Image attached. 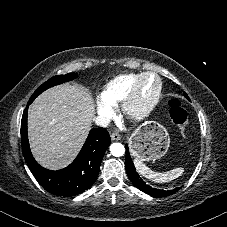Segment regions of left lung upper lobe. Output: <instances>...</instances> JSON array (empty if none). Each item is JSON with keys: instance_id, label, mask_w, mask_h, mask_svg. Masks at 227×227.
Wrapping results in <instances>:
<instances>
[{"instance_id": "left-lung-upper-lobe-1", "label": "left lung upper lobe", "mask_w": 227, "mask_h": 227, "mask_svg": "<svg viewBox=\"0 0 227 227\" xmlns=\"http://www.w3.org/2000/svg\"><path fill=\"white\" fill-rule=\"evenodd\" d=\"M184 96H185L186 98H188V96H187V94H186V93H184Z\"/></svg>"}]
</instances>
